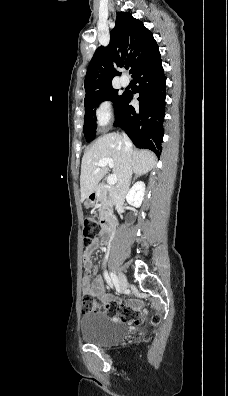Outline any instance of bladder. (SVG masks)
Segmentation results:
<instances>
[{
  "label": "bladder",
  "mask_w": 228,
  "mask_h": 396,
  "mask_svg": "<svg viewBox=\"0 0 228 396\" xmlns=\"http://www.w3.org/2000/svg\"><path fill=\"white\" fill-rule=\"evenodd\" d=\"M83 340L97 346H110L129 335L125 323L108 316L104 311L89 312L80 321Z\"/></svg>",
  "instance_id": "bladder-1"
}]
</instances>
